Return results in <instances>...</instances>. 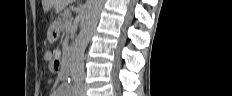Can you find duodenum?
I'll list each match as a JSON object with an SVG mask.
<instances>
[{"mask_svg":"<svg viewBox=\"0 0 232 96\" xmlns=\"http://www.w3.org/2000/svg\"><path fill=\"white\" fill-rule=\"evenodd\" d=\"M74 57H75V48L71 47L68 50V55H67V59L66 62L64 64V68H63V76L67 79L68 77H70L72 70H73V65H74Z\"/></svg>","mask_w":232,"mask_h":96,"instance_id":"1","label":"duodenum"}]
</instances>
